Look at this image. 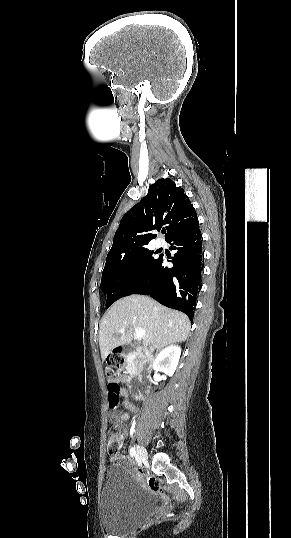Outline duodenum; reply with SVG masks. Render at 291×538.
I'll list each match as a JSON object with an SVG mask.
<instances>
[{
    "label": "duodenum",
    "mask_w": 291,
    "mask_h": 538,
    "mask_svg": "<svg viewBox=\"0 0 291 538\" xmlns=\"http://www.w3.org/2000/svg\"><path fill=\"white\" fill-rule=\"evenodd\" d=\"M122 355H130L134 358H141L143 363H140L136 368V373L130 372L128 374L130 383V394L135 397H142L151 390V383L147 380V375H142V380L136 379L137 377L141 379V376L137 373L145 374L148 369H151L152 357L145 355L144 352L138 347H121L119 350Z\"/></svg>",
    "instance_id": "obj_1"
}]
</instances>
